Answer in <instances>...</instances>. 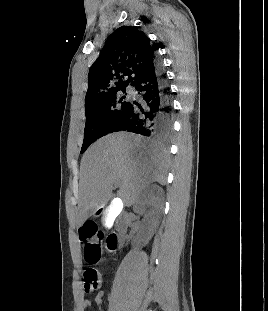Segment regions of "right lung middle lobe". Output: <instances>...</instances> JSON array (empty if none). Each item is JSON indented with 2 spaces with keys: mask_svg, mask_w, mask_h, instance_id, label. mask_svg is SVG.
Instances as JSON below:
<instances>
[{
  "mask_svg": "<svg viewBox=\"0 0 268 311\" xmlns=\"http://www.w3.org/2000/svg\"><path fill=\"white\" fill-rule=\"evenodd\" d=\"M120 91L126 92L125 88L118 90L85 110L86 124L81 153L97 139L111 132L128 104L126 96H122Z\"/></svg>",
  "mask_w": 268,
  "mask_h": 311,
  "instance_id": "obj_1",
  "label": "right lung middle lobe"
}]
</instances>
